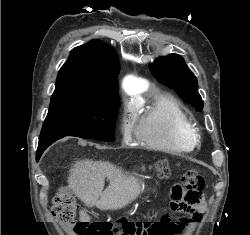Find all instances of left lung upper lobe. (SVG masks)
<instances>
[{
	"mask_svg": "<svg viewBox=\"0 0 250 235\" xmlns=\"http://www.w3.org/2000/svg\"><path fill=\"white\" fill-rule=\"evenodd\" d=\"M150 69L158 81L174 89L186 103L202 109L203 101L198 93L197 79L180 55L159 57L150 64Z\"/></svg>",
	"mask_w": 250,
	"mask_h": 235,
	"instance_id": "5c2ea615",
	"label": "left lung upper lobe"
}]
</instances>
